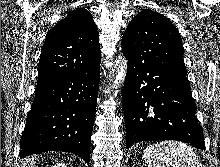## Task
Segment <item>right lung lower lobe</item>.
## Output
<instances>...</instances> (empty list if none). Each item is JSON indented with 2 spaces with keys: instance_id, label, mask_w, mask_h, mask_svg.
<instances>
[{
  "instance_id": "obj_1",
  "label": "right lung lower lobe",
  "mask_w": 220,
  "mask_h": 167,
  "mask_svg": "<svg viewBox=\"0 0 220 167\" xmlns=\"http://www.w3.org/2000/svg\"><path fill=\"white\" fill-rule=\"evenodd\" d=\"M99 75L100 64L37 85L20 140L21 157L46 151H66L89 164Z\"/></svg>"
}]
</instances>
